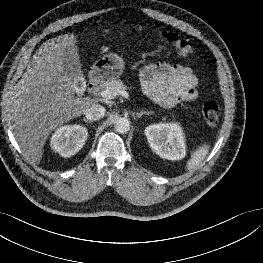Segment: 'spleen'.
I'll use <instances>...</instances> for the list:
<instances>
[{
	"label": "spleen",
	"mask_w": 263,
	"mask_h": 263,
	"mask_svg": "<svg viewBox=\"0 0 263 263\" xmlns=\"http://www.w3.org/2000/svg\"><path fill=\"white\" fill-rule=\"evenodd\" d=\"M209 152V146L207 144H203L199 146L194 153L191 154L190 159L186 164L187 170L195 169L207 156Z\"/></svg>",
	"instance_id": "1"
}]
</instances>
